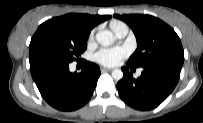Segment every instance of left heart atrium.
<instances>
[{"instance_id": "left-heart-atrium-1", "label": "left heart atrium", "mask_w": 203, "mask_h": 123, "mask_svg": "<svg viewBox=\"0 0 203 123\" xmlns=\"http://www.w3.org/2000/svg\"><path fill=\"white\" fill-rule=\"evenodd\" d=\"M127 55L128 51L124 47L103 48L95 54L94 59L101 65L115 66Z\"/></svg>"}]
</instances>
